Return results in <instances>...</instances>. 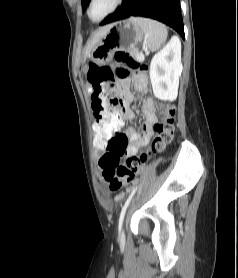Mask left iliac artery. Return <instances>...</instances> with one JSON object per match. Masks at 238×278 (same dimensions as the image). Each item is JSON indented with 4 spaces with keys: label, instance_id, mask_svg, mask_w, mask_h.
I'll use <instances>...</instances> for the list:
<instances>
[{
    "label": "left iliac artery",
    "instance_id": "44dca946",
    "mask_svg": "<svg viewBox=\"0 0 238 278\" xmlns=\"http://www.w3.org/2000/svg\"><path fill=\"white\" fill-rule=\"evenodd\" d=\"M137 188H138V185H136L133 188L131 194L129 195L128 199L126 200L125 204L122 207V210H121V213H120V218H119V232L121 231V227H122V223H123V219H124V215H125L126 209H127L128 205H129L133 195L137 191Z\"/></svg>",
    "mask_w": 238,
    "mask_h": 278
}]
</instances>
